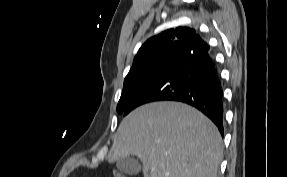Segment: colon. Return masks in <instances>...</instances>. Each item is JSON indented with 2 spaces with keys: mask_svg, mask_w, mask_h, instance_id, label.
Masks as SVG:
<instances>
[{
  "mask_svg": "<svg viewBox=\"0 0 287 177\" xmlns=\"http://www.w3.org/2000/svg\"><path fill=\"white\" fill-rule=\"evenodd\" d=\"M113 177H127V176L119 171H115Z\"/></svg>",
  "mask_w": 287,
  "mask_h": 177,
  "instance_id": "1",
  "label": "colon"
}]
</instances>
